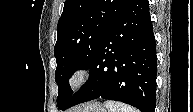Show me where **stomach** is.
Instances as JSON below:
<instances>
[{"label": "stomach", "instance_id": "0dacf381", "mask_svg": "<svg viewBox=\"0 0 193 112\" xmlns=\"http://www.w3.org/2000/svg\"><path fill=\"white\" fill-rule=\"evenodd\" d=\"M77 112H106V110L100 103L94 102L84 105Z\"/></svg>", "mask_w": 193, "mask_h": 112}]
</instances>
